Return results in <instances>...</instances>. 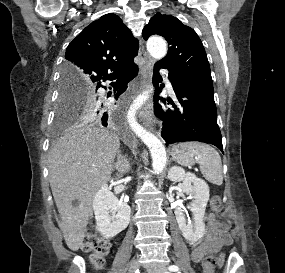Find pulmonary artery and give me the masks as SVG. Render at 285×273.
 Instances as JSON below:
<instances>
[{"mask_svg":"<svg viewBox=\"0 0 285 273\" xmlns=\"http://www.w3.org/2000/svg\"><path fill=\"white\" fill-rule=\"evenodd\" d=\"M162 75L166 77V84H167V88L169 90L170 93H173V87L170 83V81L167 79V74L164 70L161 71Z\"/></svg>","mask_w":285,"mask_h":273,"instance_id":"pulmonary-artery-1","label":"pulmonary artery"}]
</instances>
